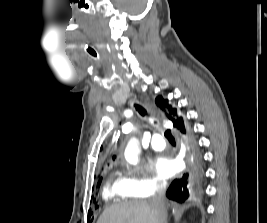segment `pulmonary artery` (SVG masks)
I'll return each instance as SVG.
<instances>
[{"label":"pulmonary artery","mask_w":267,"mask_h":223,"mask_svg":"<svg viewBox=\"0 0 267 223\" xmlns=\"http://www.w3.org/2000/svg\"><path fill=\"white\" fill-rule=\"evenodd\" d=\"M166 142L159 134H154L151 140V147L155 151H161L165 148Z\"/></svg>","instance_id":"pulmonary-artery-1"}]
</instances>
